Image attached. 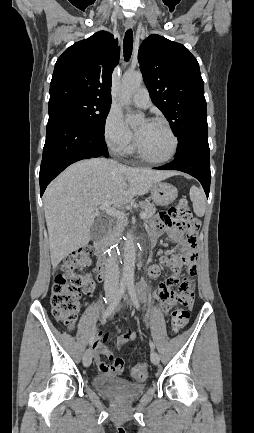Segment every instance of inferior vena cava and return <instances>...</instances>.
I'll list each match as a JSON object with an SVG mask.
<instances>
[{"label": "inferior vena cava", "instance_id": "obj_1", "mask_svg": "<svg viewBox=\"0 0 254 433\" xmlns=\"http://www.w3.org/2000/svg\"><path fill=\"white\" fill-rule=\"evenodd\" d=\"M119 265L117 258L114 254L108 257L105 264V290L119 287Z\"/></svg>", "mask_w": 254, "mask_h": 433}]
</instances>
